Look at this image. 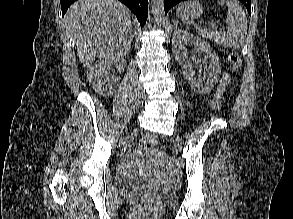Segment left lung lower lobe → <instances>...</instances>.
<instances>
[{"mask_svg":"<svg viewBox=\"0 0 293 219\" xmlns=\"http://www.w3.org/2000/svg\"><path fill=\"white\" fill-rule=\"evenodd\" d=\"M184 1V0H164V10H165V14L168 12V10L173 7L174 5H176L177 3ZM240 2H242L247 10L248 13L251 15V0H239Z\"/></svg>","mask_w":293,"mask_h":219,"instance_id":"obj_1","label":"left lung lower lobe"}]
</instances>
